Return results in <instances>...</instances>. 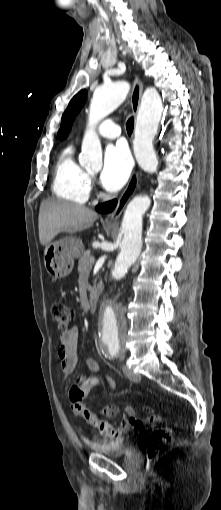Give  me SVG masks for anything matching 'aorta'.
<instances>
[{"mask_svg": "<svg viewBox=\"0 0 221 510\" xmlns=\"http://www.w3.org/2000/svg\"><path fill=\"white\" fill-rule=\"evenodd\" d=\"M130 89L127 81H118L99 86L94 91L89 108L90 129L85 134L80 164L98 169L102 163L100 141L93 131L94 125L113 112L126 98ZM163 106L157 90L147 88L142 96L137 115L134 153L139 166L148 173L157 171L158 160L153 149V139L161 120ZM150 207L148 196H135L125 210L121 232L123 239L113 268L112 281L121 280L138 258L142 248V217ZM126 322L121 307L112 299H102L98 311V332L101 348L119 349L124 344Z\"/></svg>", "mask_w": 221, "mask_h": 510, "instance_id": "1", "label": "aorta"}]
</instances>
